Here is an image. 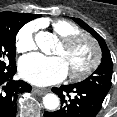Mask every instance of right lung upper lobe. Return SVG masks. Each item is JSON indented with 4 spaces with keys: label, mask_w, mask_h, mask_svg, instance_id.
<instances>
[{
    "label": "right lung upper lobe",
    "mask_w": 117,
    "mask_h": 117,
    "mask_svg": "<svg viewBox=\"0 0 117 117\" xmlns=\"http://www.w3.org/2000/svg\"><path fill=\"white\" fill-rule=\"evenodd\" d=\"M9 11H4V12H1L0 14H6L8 13ZM29 21L35 19V18H38L40 17L41 15L40 14H24L22 13Z\"/></svg>",
    "instance_id": "obj_1"
}]
</instances>
